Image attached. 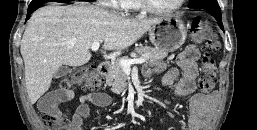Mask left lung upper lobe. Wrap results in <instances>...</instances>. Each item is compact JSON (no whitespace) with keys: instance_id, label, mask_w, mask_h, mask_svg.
<instances>
[{"instance_id":"left-lung-upper-lobe-1","label":"left lung upper lobe","mask_w":257,"mask_h":130,"mask_svg":"<svg viewBox=\"0 0 257 130\" xmlns=\"http://www.w3.org/2000/svg\"><path fill=\"white\" fill-rule=\"evenodd\" d=\"M189 7L205 9L207 11H220L217 0H190Z\"/></svg>"}]
</instances>
